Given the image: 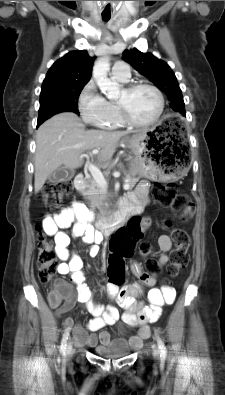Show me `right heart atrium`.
<instances>
[{"instance_id": "1", "label": "right heart atrium", "mask_w": 225, "mask_h": 395, "mask_svg": "<svg viewBox=\"0 0 225 395\" xmlns=\"http://www.w3.org/2000/svg\"><path fill=\"white\" fill-rule=\"evenodd\" d=\"M78 109L83 121L93 127H102L110 115L108 102L98 93L93 81H89L81 91Z\"/></svg>"}]
</instances>
